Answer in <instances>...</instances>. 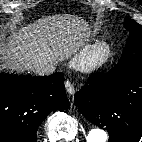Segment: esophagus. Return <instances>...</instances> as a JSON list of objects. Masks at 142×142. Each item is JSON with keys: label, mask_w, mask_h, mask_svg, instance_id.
I'll list each match as a JSON object with an SVG mask.
<instances>
[{"label": "esophagus", "mask_w": 142, "mask_h": 142, "mask_svg": "<svg viewBox=\"0 0 142 142\" xmlns=\"http://www.w3.org/2000/svg\"><path fill=\"white\" fill-rule=\"evenodd\" d=\"M65 88H66V91H67L70 95H74V94H75L76 89H75L74 84H73L71 81L67 80V81L65 82Z\"/></svg>", "instance_id": "esophagus-1"}]
</instances>
